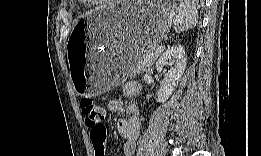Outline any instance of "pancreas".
Listing matches in <instances>:
<instances>
[{
	"instance_id": "1",
	"label": "pancreas",
	"mask_w": 261,
	"mask_h": 156,
	"mask_svg": "<svg viewBox=\"0 0 261 156\" xmlns=\"http://www.w3.org/2000/svg\"><path fill=\"white\" fill-rule=\"evenodd\" d=\"M157 56L154 54V51H148L139 61L136 65V67L133 68L132 74H140L145 69L150 67L156 60Z\"/></svg>"
}]
</instances>
